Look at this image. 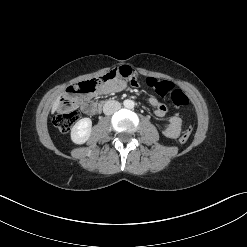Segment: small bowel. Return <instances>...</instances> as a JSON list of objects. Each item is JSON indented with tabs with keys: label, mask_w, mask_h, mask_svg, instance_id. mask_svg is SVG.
Returning <instances> with one entry per match:
<instances>
[{
	"label": "small bowel",
	"mask_w": 247,
	"mask_h": 247,
	"mask_svg": "<svg viewBox=\"0 0 247 247\" xmlns=\"http://www.w3.org/2000/svg\"><path fill=\"white\" fill-rule=\"evenodd\" d=\"M123 69H126L134 74H136L131 68L129 67H122ZM126 77L118 76L115 79L106 82L103 84L100 88L97 89V94H111L116 93L124 90L127 86ZM135 85V84H133ZM149 103L155 110V114L158 117H164L168 109L165 104L160 102L156 97H150ZM97 106L92 101H84L82 103V110L86 114H94L96 112ZM182 128V119L178 113H174L170 115L168 120L166 121L164 127H163V134L168 138H177L180 134Z\"/></svg>",
	"instance_id": "c3829d8e"
}]
</instances>
